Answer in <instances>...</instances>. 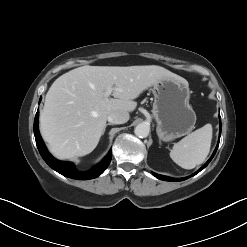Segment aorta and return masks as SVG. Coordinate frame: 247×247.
<instances>
[{
	"instance_id": "762f6f07",
	"label": "aorta",
	"mask_w": 247,
	"mask_h": 247,
	"mask_svg": "<svg viewBox=\"0 0 247 247\" xmlns=\"http://www.w3.org/2000/svg\"><path fill=\"white\" fill-rule=\"evenodd\" d=\"M150 126L147 123H140L135 127L134 133L140 138H145L149 135Z\"/></svg>"
}]
</instances>
